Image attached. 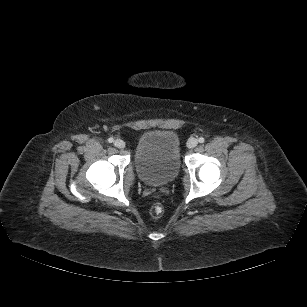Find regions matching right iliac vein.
Wrapping results in <instances>:
<instances>
[{
    "instance_id": "1",
    "label": "right iliac vein",
    "mask_w": 307,
    "mask_h": 307,
    "mask_svg": "<svg viewBox=\"0 0 307 307\" xmlns=\"http://www.w3.org/2000/svg\"><path fill=\"white\" fill-rule=\"evenodd\" d=\"M114 145L115 147L120 148V149L125 148V142L121 139H116L114 141Z\"/></svg>"
}]
</instances>
